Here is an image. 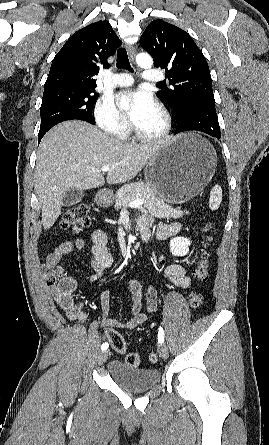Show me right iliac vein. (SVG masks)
Returning a JSON list of instances; mask_svg holds the SVG:
<instances>
[{
    "mask_svg": "<svg viewBox=\"0 0 269 445\" xmlns=\"http://www.w3.org/2000/svg\"><path fill=\"white\" fill-rule=\"evenodd\" d=\"M108 355H109L108 351L101 352L100 355L98 356V363L103 364L107 360Z\"/></svg>",
    "mask_w": 269,
    "mask_h": 445,
    "instance_id": "obj_1",
    "label": "right iliac vein"
}]
</instances>
